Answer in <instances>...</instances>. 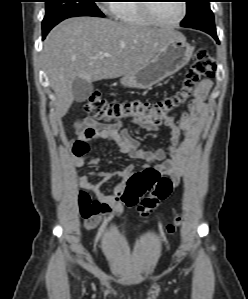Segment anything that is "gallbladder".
I'll return each mask as SVG.
<instances>
[{
  "mask_svg": "<svg viewBox=\"0 0 248 299\" xmlns=\"http://www.w3.org/2000/svg\"><path fill=\"white\" fill-rule=\"evenodd\" d=\"M93 91V84L81 78H76L72 84L74 100L78 103L88 99Z\"/></svg>",
  "mask_w": 248,
  "mask_h": 299,
  "instance_id": "gallbladder-1",
  "label": "gallbladder"
}]
</instances>
